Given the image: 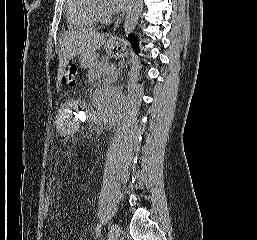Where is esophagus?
Instances as JSON below:
<instances>
[{"label": "esophagus", "instance_id": "esophagus-1", "mask_svg": "<svg viewBox=\"0 0 257 240\" xmlns=\"http://www.w3.org/2000/svg\"><path fill=\"white\" fill-rule=\"evenodd\" d=\"M123 18H124V14H122V16L117 19V21L115 23V28L120 26L121 22L123 21Z\"/></svg>", "mask_w": 257, "mask_h": 240}]
</instances>
